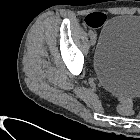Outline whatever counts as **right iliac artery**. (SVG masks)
Masks as SVG:
<instances>
[{"instance_id": "82829eb1", "label": "right iliac artery", "mask_w": 140, "mask_h": 140, "mask_svg": "<svg viewBox=\"0 0 140 140\" xmlns=\"http://www.w3.org/2000/svg\"><path fill=\"white\" fill-rule=\"evenodd\" d=\"M88 34H89L90 36H92V35L94 34V32H93L92 30H89Z\"/></svg>"}]
</instances>
